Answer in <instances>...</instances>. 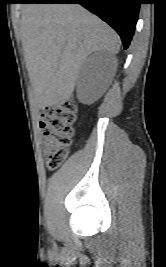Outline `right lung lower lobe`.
I'll return each mask as SVG.
<instances>
[{"label": "right lung lower lobe", "instance_id": "obj_1", "mask_svg": "<svg viewBox=\"0 0 166 267\" xmlns=\"http://www.w3.org/2000/svg\"><path fill=\"white\" fill-rule=\"evenodd\" d=\"M21 3H79L107 22L127 49L135 31L140 0H22Z\"/></svg>", "mask_w": 166, "mask_h": 267}]
</instances>
